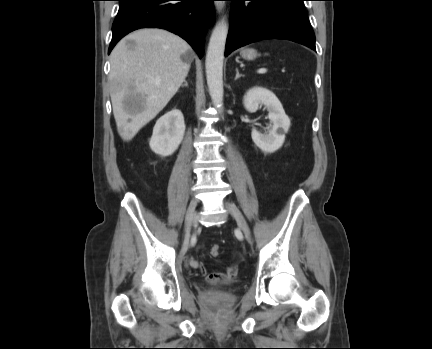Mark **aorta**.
<instances>
[{
  "label": "aorta",
  "mask_w": 432,
  "mask_h": 349,
  "mask_svg": "<svg viewBox=\"0 0 432 349\" xmlns=\"http://www.w3.org/2000/svg\"><path fill=\"white\" fill-rule=\"evenodd\" d=\"M227 34L228 24L223 18L217 22L212 31L205 60L209 93L220 113L223 111V60Z\"/></svg>",
  "instance_id": "762f6f07"
}]
</instances>
